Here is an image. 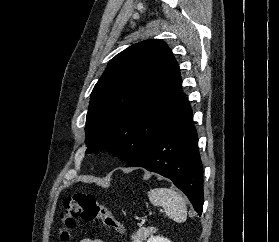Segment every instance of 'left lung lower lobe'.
Returning a JSON list of instances; mask_svg holds the SVG:
<instances>
[{
	"instance_id": "left-lung-lower-lobe-1",
	"label": "left lung lower lobe",
	"mask_w": 279,
	"mask_h": 242,
	"mask_svg": "<svg viewBox=\"0 0 279 242\" xmlns=\"http://www.w3.org/2000/svg\"><path fill=\"white\" fill-rule=\"evenodd\" d=\"M134 166L171 179L187 195L195 211L202 213L203 169L192 109L188 103L180 116L143 153L126 165Z\"/></svg>"
}]
</instances>
